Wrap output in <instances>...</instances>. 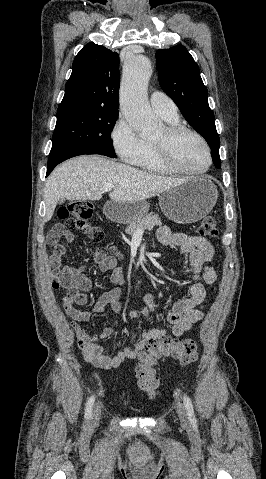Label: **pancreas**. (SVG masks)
Listing matches in <instances>:
<instances>
[{"label": "pancreas", "instance_id": "cf45deb5", "mask_svg": "<svg viewBox=\"0 0 266 479\" xmlns=\"http://www.w3.org/2000/svg\"><path fill=\"white\" fill-rule=\"evenodd\" d=\"M161 224L162 223L158 214L151 212L142 218H138L130 222L125 231L128 235H133L138 229L143 231L151 230L154 228V226Z\"/></svg>", "mask_w": 266, "mask_h": 479}]
</instances>
